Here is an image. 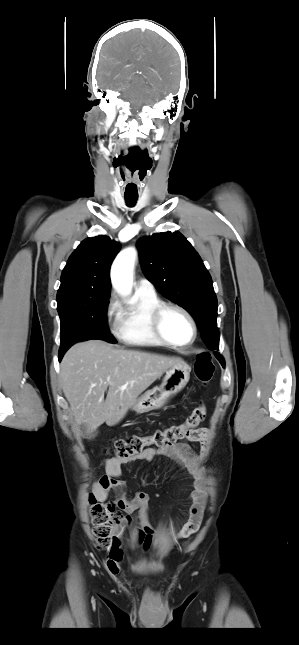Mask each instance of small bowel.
Masks as SVG:
<instances>
[{
    "label": "small bowel",
    "mask_w": 299,
    "mask_h": 645,
    "mask_svg": "<svg viewBox=\"0 0 299 645\" xmlns=\"http://www.w3.org/2000/svg\"><path fill=\"white\" fill-rule=\"evenodd\" d=\"M211 433L208 428H197L191 430L184 438V441L177 442L170 446L163 448H147L141 453L130 457L126 461H120L116 458L106 461L103 465L105 474L96 480L93 484V496L98 501H103L107 497V492L114 488H121L124 486V481L120 479L122 475V464L132 461H146L150 462L156 457H164L175 462L179 467L186 469L194 477V489L191 494L192 505L189 509V516L179 531L173 536L174 539H182L188 537L196 531L201 523L202 514L204 509L203 498V482L205 478V471L203 468V461L206 457V449L210 443ZM189 442H199L204 446V451L199 455H195L189 446ZM149 503V496L147 493L139 492L133 500L127 501L119 499L117 506L126 511L133 512L139 510L144 516ZM129 522V519H128ZM122 531H117L116 540L110 551L107 559V564L118 565L122 560V551L120 549V540ZM155 532L146 522L143 523L141 528H138L134 534V545L142 546L147 549L154 541Z\"/></svg>",
    "instance_id": "small-bowel-1"
}]
</instances>
